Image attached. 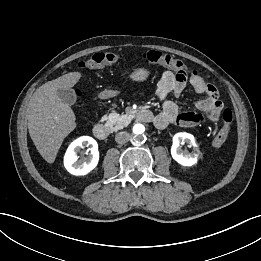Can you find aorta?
<instances>
[{"label": "aorta", "instance_id": "1", "mask_svg": "<svg viewBox=\"0 0 261 261\" xmlns=\"http://www.w3.org/2000/svg\"><path fill=\"white\" fill-rule=\"evenodd\" d=\"M132 132L136 139L142 140L145 133V127L142 124H135L132 128Z\"/></svg>", "mask_w": 261, "mask_h": 261}]
</instances>
